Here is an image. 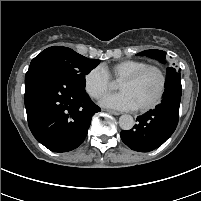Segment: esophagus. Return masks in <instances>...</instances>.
Segmentation results:
<instances>
[{"instance_id": "34e87169", "label": "esophagus", "mask_w": 201, "mask_h": 201, "mask_svg": "<svg viewBox=\"0 0 201 201\" xmlns=\"http://www.w3.org/2000/svg\"><path fill=\"white\" fill-rule=\"evenodd\" d=\"M106 112L110 113V114H113V115H120L121 113L118 112V111H114V110H110V109H107L105 110Z\"/></svg>"}]
</instances>
